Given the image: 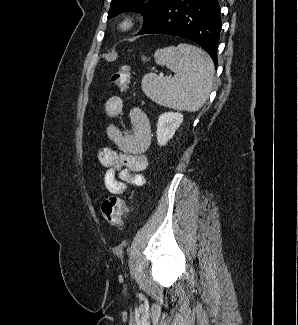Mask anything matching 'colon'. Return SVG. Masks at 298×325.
<instances>
[{"label": "colon", "mask_w": 298, "mask_h": 325, "mask_svg": "<svg viewBox=\"0 0 298 325\" xmlns=\"http://www.w3.org/2000/svg\"><path fill=\"white\" fill-rule=\"evenodd\" d=\"M130 67L128 65L119 66L111 74L112 84L119 88L125 89L129 84ZM101 212L105 221L113 227H121L123 217L127 212V206L123 199L111 196L106 198L101 204Z\"/></svg>", "instance_id": "colon-1"}]
</instances>
